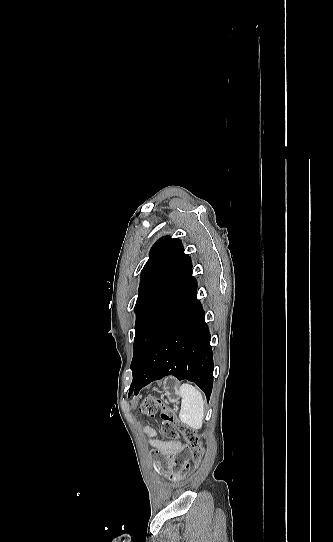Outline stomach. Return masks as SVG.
Wrapping results in <instances>:
<instances>
[{"label":"stomach","instance_id":"stomach-1","mask_svg":"<svg viewBox=\"0 0 333 542\" xmlns=\"http://www.w3.org/2000/svg\"><path fill=\"white\" fill-rule=\"evenodd\" d=\"M162 392H164L163 396H166V398H168L170 404H176V402H178L180 398L177 380H175V378H172V376H168V378H165L163 382Z\"/></svg>","mask_w":333,"mask_h":542}]
</instances>
